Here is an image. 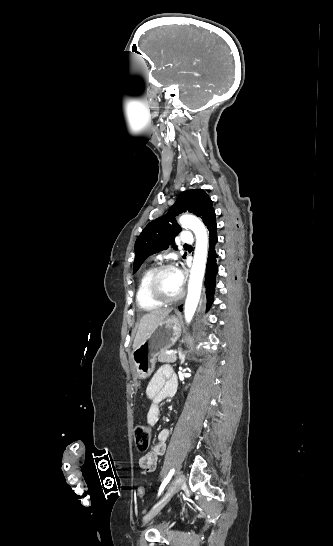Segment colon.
<instances>
[{"label": "colon", "mask_w": 333, "mask_h": 546, "mask_svg": "<svg viewBox=\"0 0 333 546\" xmlns=\"http://www.w3.org/2000/svg\"><path fill=\"white\" fill-rule=\"evenodd\" d=\"M152 438V430L147 425H138L134 430V441L138 451H146L150 445ZM137 495L141 500H144L145 489L144 487H139L137 490Z\"/></svg>", "instance_id": "5ec220e1"}]
</instances>
